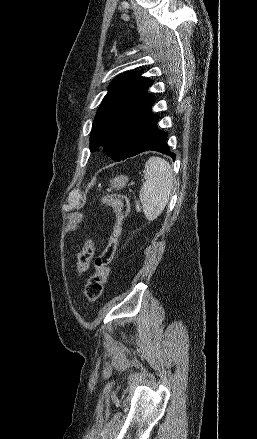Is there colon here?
I'll use <instances>...</instances> for the list:
<instances>
[{
  "mask_svg": "<svg viewBox=\"0 0 257 439\" xmlns=\"http://www.w3.org/2000/svg\"><path fill=\"white\" fill-rule=\"evenodd\" d=\"M100 202L102 206L114 209L115 218L107 245L101 254L96 257L94 262L95 271L85 285V296L91 302L98 300L103 293L110 265L118 246L122 225L129 212L128 200L123 195H105L101 198ZM93 255L94 243L91 239H87L77 255V273L79 275L88 270Z\"/></svg>",
  "mask_w": 257,
  "mask_h": 439,
  "instance_id": "obj_1",
  "label": "colon"
}]
</instances>
